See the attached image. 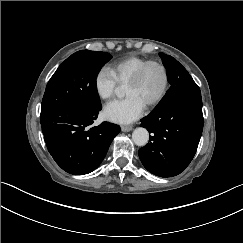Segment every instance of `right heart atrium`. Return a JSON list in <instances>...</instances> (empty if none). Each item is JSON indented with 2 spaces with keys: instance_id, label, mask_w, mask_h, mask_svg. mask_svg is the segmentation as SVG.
Here are the masks:
<instances>
[{
  "instance_id": "right-heart-atrium-1",
  "label": "right heart atrium",
  "mask_w": 243,
  "mask_h": 243,
  "mask_svg": "<svg viewBox=\"0 0 243 243\" xmlns=\"http://www.w3.org/2000/svg\"><path fill=\"white\" fill-rule=\"evenodd\" d=\"M117 84L109 66L103 65L98 68L93 78V87L98 99L106 100L112 98L117 89Z\"/></svg>"
}]
</instances>
